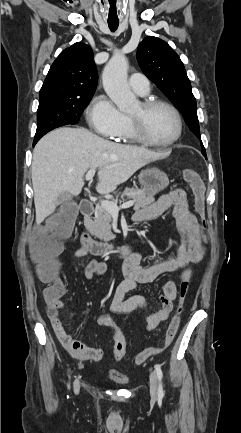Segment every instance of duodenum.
<instances>
[{
    "label": "duodenum",
    "instance_id": "obj_1",
    "mask_svg": "<svg viewBox=\"0 0 241 433\" xmlns=\"http://www.w3.org/2000/svg\"><path fill=\"white\" fill-rule=\"evenodd\" d=\"M80 211L86 220L94 213L95 206L89 199L82 200L80 204ZM138 222V220H135ZM82 247L92 255H108L115 259H123L132 255V246L128 243L110 245L103 242L96 241L92 238L90 233L85 229L81 236Z\"/></svg>",
    "mask_w": 241,
    "mask_h": 433
}]
</instances>
